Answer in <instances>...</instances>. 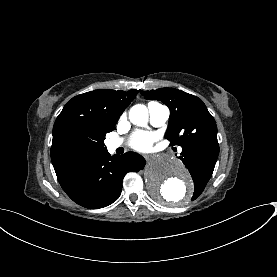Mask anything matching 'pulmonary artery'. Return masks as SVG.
I'll return each mask as SVG.
<instances>
[{"mask_svg":"<svg viewBox=\"0 0 277 277\" xmlns=\"http://www.w3.org/2000/svg\"><path fill=\"white\" fill-rule=\"evenodd\" d=\"M143 108H145L149 117V121L153 126L162 127L166 125L170 116V111L167 106L162 105L158 102H151L147 105V107H143ZM121 143H122V140L112 142L110 145L113 148H117L121 145Z\"/></svg>","mask_w":277,"mask_h":277,"instance_id":"1","label":"pulmonary artery"}]
</instances>
